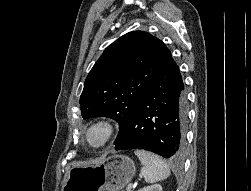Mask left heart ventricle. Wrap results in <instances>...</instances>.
I'll use <instances>...</instances> for the list:
<instances>
[{
    "label": "left heart ventricle",
    "instance_id": "left-heart-ventricle-1",
    "mask_svg": "<svg viewBox=\"0 0 251 191\" xmlns=\"http://www.w3.org/2000/svg\"><path fill=\"white\" fill-rule=\"evenodd\" d=\"M83 138L87 145L98 148L103 144L105 135L101 129L95 128L88 131Z\"/></svg>",
    "mask_w": 251,
    "mask_h": 191
}]
</instances>
